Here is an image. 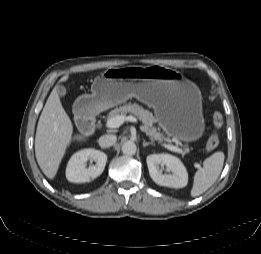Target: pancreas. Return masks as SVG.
<instances>
[{
    "instance_id": "pancreas-1",
    "label": "pancreas",
    "mask_w": 261,
    "mask_h": 254,
    "mask_svg": "<svg viewBox=\"0 0 261 254\" xmlns=\"http://www.w3.org/2000/svg\"><path fill=\"white\" fill-rule=\"evenodd\" d=\"M127 113L137 116L139 120L142 121L144 131L152 140L158 142L170 141L169 138H165L164 135L159 132V129L153 126V123L155 122L153 114L136 103H128L119 108H115L108 114L107 120L120 115L125 116ZM187 151H189V148H185V152Z\"/></svg>"
}]
</instances>
